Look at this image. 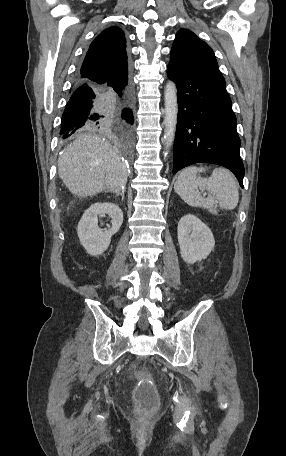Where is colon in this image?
Here are the masks:
<instances>
[{
    "label": "colon",
    "mask_w": 286,
    "mask_h": 456,
    "mask_svg": "<svg viewBox=\"0 0 286 456\" xmlns=\"http://www.w3.org/2000/svg\"><path fill=\"white\" fill-rule=\"evenodd\" d=\"M134 397L138 412L149 411L157 406V391L153 380L149 376H137V386L134 391Z\"/></svg>",
    "instance_id": "1"
}]
</instances>
